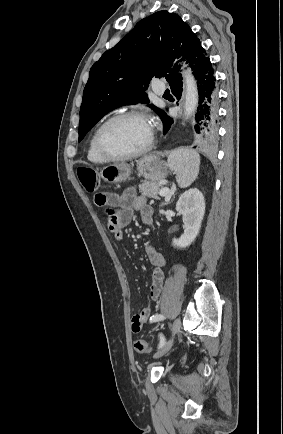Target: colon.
Wrapping results in <instances>:
<instances>
[{
	"label": "colon",
	"instance_id": "1",
	"mask_svg": "<svg viewBox=\"0 0 283 434\" xmlns=\"http://www.w3.org/2000/svg\"><path fill=\"white\" fill-rule=\"evenodd\" d=\"M77 175L86 191L94 192L98 188V174L94 169L89 167L79 168ZM134 349L136 352L142 354H149L152 351L147 342L143 339L135 341Z\"/></svg>",
	"mask_w": 283,
	"mask_h": 434
}]
</instances>
